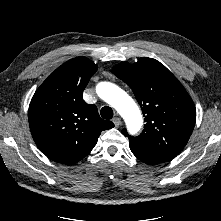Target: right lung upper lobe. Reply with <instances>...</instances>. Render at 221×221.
<instances>
[{"mask_svg": "<svg viewBox=\"0 0 221 221\" xmlns=\"http://www.w3.org/2000/svg\"><path fill=\"white\" fill-rule=\"evenodd\" d=\"M97 66L86 57L57 68L37 89L29 106L32 137L51 160L72 165L87 156L101 131L114 124L100 118L97 107L85 103L83 90Z\"/></svg>", "mask_w": 221, "mask_h": 221, "instance_id": "obj_1", "label": "right lung upper lobe"}]
</instances>
